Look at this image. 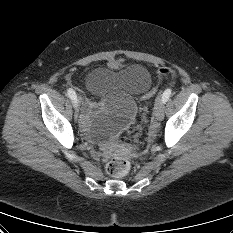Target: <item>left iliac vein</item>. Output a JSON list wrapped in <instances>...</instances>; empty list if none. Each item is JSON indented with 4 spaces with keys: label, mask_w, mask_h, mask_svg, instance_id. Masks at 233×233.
<instances>
[{
    "label": "left iliac vein",
    "mask_w": 233,
    "mask_h": 233,
    "mask_svg": "<svg viewBox=\"0 0 233 233\" xmlns=\"http://www.w3.org/2000/svg\"><path fill=\"white\" fill-rule=\"evenodd\" d=\"M154 116L158 121H162L164 118V102L161 96H158L155 100Z\"/></svg>",
    "instance_id": "4c4485c4"
}]
</instances>
